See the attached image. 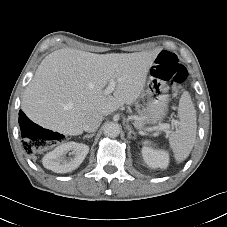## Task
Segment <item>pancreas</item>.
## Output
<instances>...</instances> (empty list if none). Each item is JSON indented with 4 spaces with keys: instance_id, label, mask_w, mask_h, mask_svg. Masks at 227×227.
Returning a JSON list of instances; mask_svg holds the SVG:
<instances>
[{
    "instance_id": "obj_1",
    "label": "pancreas",
    "mask_w": 227,
    "mask_h": 227,
    "mask_svg": "<svg viewBox=\"0 0 227 227\" xmlns=\"http://www.w3.org/2000/svg\"><path fill=\"white\" fill-rule=\"evenodd\" d=\"M146 122L145 111H139V115L135 117V126L142 128Z\"/></svg>"
}]
</instances>
